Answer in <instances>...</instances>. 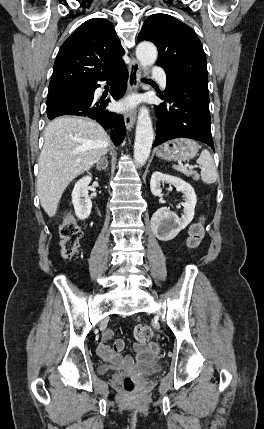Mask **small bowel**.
I'll use <instances>...</instances> for the list:
<instances>
[{
  "mask_svg": "<svg viewBox=\"0 0 264 429\" xmlns=\"http://www.w3.org/2000/svg\"><path fill=\"white\" fill-rule=\"evenodd\" d=\"M113 332L107 330L102 341L98 346L99 355L107 360L111 361L118 366L129 367L132 364V358L130 356H122L121 352L124 348V342L122 340H116L111 346L108 341L112 338ZM134 351L136 353V360L139 363H147L153 360V358L159 352V346L156 343L147 344H135Z\"/></svg>",
  "mask_w": 264,
  "mask_h": 429,
  "instance_id": "c3829d8e",
  "label": "small bowel"
}]
</instances>
